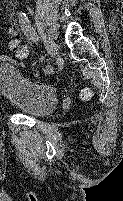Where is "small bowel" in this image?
Returning <instances> with one entry per match:
<instances>
[{
	"label": "small bowel",
	"mask_w": 123,
	"mask_h": 201,
	"mask_svg": "<svg viewBox=\"0 0 123 201\" xmlns=\"http://www.w3.org/2000/svg\"><path fill=\"white\" fill-rule=\"evenodd\" d=\"M23 32V31H22ZM24 33V32H23ZM18 35V30L16 27L14 26H11L8 30V36L10 39H14L16 38ZM25 35V34H24ZM26 36V35H25ZM0 61H4V62H7V63H11V64H15L17 63L16 60H14L13 58H11L10 56L8 55H5V54H0Z\"/></svg>",
	"instance_id": "1"
}]
</instances>
